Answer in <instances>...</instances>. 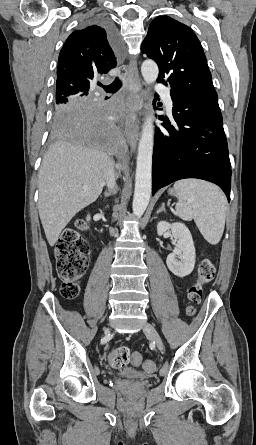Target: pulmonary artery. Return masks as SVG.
Returning a JSON list of instances; mask_svg holds the SVG:
<instances>
[{"mask_svg":"<svg viewBox=\"0 0 256 445\" xmlns=\"http://www.w3.org/2000/svg\"><path fill=\"white\" fill-rule=\"evenodd\" d=\"M155 88L163 93L164 103L168 109H171L172 108V100H171L169 90L162 88L160 84H156Z\"/></svg>","mask_w":256,"mask_h":445,"instance_id":"obj_1","label":"pulmonary artery"}]
</instances>
